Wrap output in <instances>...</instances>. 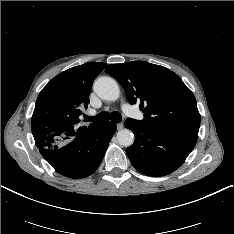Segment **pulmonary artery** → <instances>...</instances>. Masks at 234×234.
<instances>
[{
	"instance_id": "pulmonary-artery-1",
	"label": "pulmonary artery",
	"mask_w": 234,
	"mask_h": 234,
	"mask_svg": "<svg viewBox=\"0 0 234 234\" xmlns=\"http://www.w3.org/2000/svg\"><path fill=\"white\" fill-rule=\"evenodd\" d=\"M126 111H128V107L126 106V105H124V107H123ZM91 114H94V111H91L90 112Z\"/></svg>"
}]
</instances>
